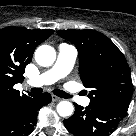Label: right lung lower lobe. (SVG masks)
I'll return each mask as SVG.
<instances>
[{"mask_svg":"<svg viewBox=\"0 0 136 136\" xmlns=\"http://www.w3.org/2000/svg\"><path fill=\"white\" fill-rule=\"evenodd\" d=\"M51 102L49 93L30 95L0 114V136H27L33 131L38 110Z\"/></svg>","mask_w":136,"mask_h":136,"instance_id":"obj_1","label":"right lung lower lobe"}]
</instances>
